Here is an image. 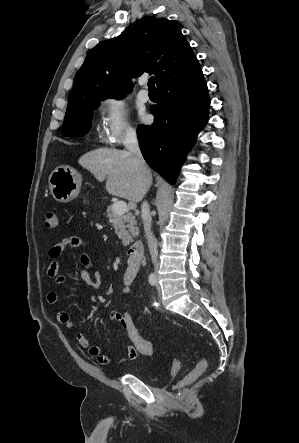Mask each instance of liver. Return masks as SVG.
Wrapping results in <instances>:
<instances>
[{"mask_svg":"<svg viewBox=\"0 0 299 443\" xmlns=\"http://www.w3.org/2000/svg\"><path fill=\"white\" fill-rule=\"evenodd\" d=\"M78 163L99 181L106 179L105 187L110 195L132 202L142 200L143 181L127 151L98 148L83 154ZM145 177L151 184L152 174L148 168Z\"/></svg>","mask_w":299,"mask_h":443,"instance_id":"1","label":"liver"}]
</instances>
